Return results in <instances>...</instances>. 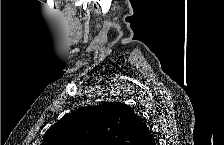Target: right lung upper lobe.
<instances>
[{
  "label": "right lung upper lobe",
  "mask_w": 224,
  "mask_h": 145,
  "mask_svg": "<svg viewBox=\"0 0 224 145\" xmlns=\"http://www.w3.org/2000/svg\"><path fill=\"white\" fill-rule=\"evenodd\" d=\"M42 145H155V139L132 107L104 102L65 115L48 129Z\"/></svg>",
  "instance_id": "obj_1"
}]
</instances>
